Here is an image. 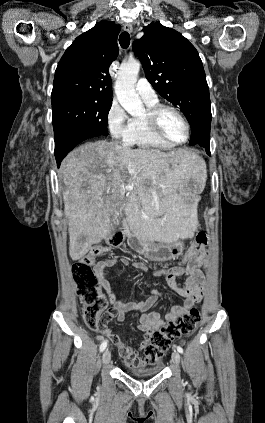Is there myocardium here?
Returning a JSON list of instances; mask_svg holds the SVG:
<instances>
[{"label": "myocardium", "instance_id": "1", "mask_svg": "<svg viewBox=\"0 0 265 423\" xmlns=\"http://www.w3.org/2000/svg\"><path fill=\"white\" fill-rule=\"evenodd\" d=\"M165 111H171L173 113H175L183 122V124L185 125L186 128V137L183 141L181 142H175L173 140H171L170 138H168L164 132L161 129L160 126V117L162 115L163 112ZM145 121L148 125V127L150 128V130L152 131V133L161 141L171 145V146H180L183 145L185 143L188 142L189 138H190V134H191V126L190 123L188 121V119L186 118V116L175 106L172 105H166V104H157L152 108H149L146 115H145Z\"/></svg>", "mask_w": 265, "mask_h": 423}]
</instances>
